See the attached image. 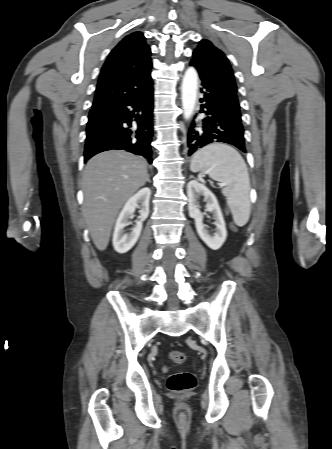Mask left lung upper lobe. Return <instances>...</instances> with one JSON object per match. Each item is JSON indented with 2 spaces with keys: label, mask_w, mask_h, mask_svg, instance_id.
<instances>
[{
  "label": "left lung upper lobe",
  "mask_w": 332,
  "mask_h": 449,
  "mask_svg": "<svg viewBox=\"0 0 332 449\" xmlns=\"http://www.w3.org/2000/svg\"><path fill=\"white\" fill-rule=\"evenodd\" d=\"M190 64L200 73L209 75L223 86L235 93L237 92L234 74L227 57L210 41L206 39L200 41L193 52Z\"/></svg>",
  "instance_id": "1"
}]
</instances>
